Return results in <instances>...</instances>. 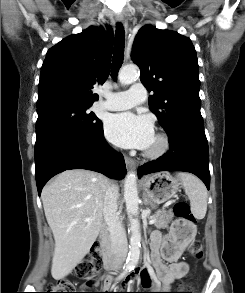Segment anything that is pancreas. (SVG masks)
I'll use <instances>...</instances> for the list:
<instances>
[{
	"label": "pancreas",
	"instance_id": "cf45deb5",
	"mask_svg": "<svg viewBox=\"0 0 245 293\" xmlns=\"http://www.w3.org/2000/svg\"><path fill=\"white\" fill-rule=\"evenodd\" d=\"M155 220L154 225L158 228H168L169 223L172 221L173 219V215L171 212H156L153 217Z\"/></svg>",
	"mask_w": 245,
	"mask_h": 293
}]
</instances>
